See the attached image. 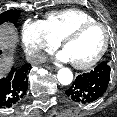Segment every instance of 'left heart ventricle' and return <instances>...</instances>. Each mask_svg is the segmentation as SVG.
Masks as SVG:
<instances>
[{
    "mask_svg": "<svg viewBox=\"0 0 117 117\" xmlns=\"http://www.w3.org/2000/svg\"><path fill=\"white\" fill-rule=\"evenodd\" d=\"M105 33L100 27H91L70 41L64 50L72 62L85 63L94 58L103 47Z\"/></svg>",
    "mask_w": 117,
    "mask_h": 117,
    "instance_id": "b2bd125f",
    "label": "left heart ventricle"
}]
</instances>
